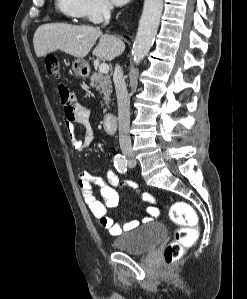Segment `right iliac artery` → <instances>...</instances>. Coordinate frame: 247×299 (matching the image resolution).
<instances>
[{"label":"right iliac artery","instance_id":"obj_1","mask_svg":"<svg viewBox=\"0 0 247 299\" xmlns=\"http://www.w3.org/2000/svg\"><path fill=\"white\" fill-rule=\"evenodd\" d=\"M114 165L117 168V171L120 173H126L127 171V160L125 156L122 155H116L114 157Z\"/></svg>","mask_w":247,"mask_h":299}]
</instances>
